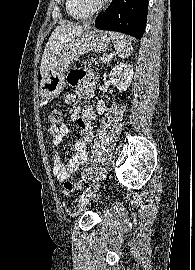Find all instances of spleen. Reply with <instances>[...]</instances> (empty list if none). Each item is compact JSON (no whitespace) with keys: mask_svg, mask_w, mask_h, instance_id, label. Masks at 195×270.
<instances>
[{"mask_svg":"<svg viewBox=\"0 0 195 270\" xmlns=\"http://www.w3.org/2000/svg\"><path fill=\"white\" fill-rule=\"evenodd\" d=\"M113 45L117 51V54L121 58H126L131 54L132 45L124 35L120 33H110Z\"/></svg>","mask_w":195,"mask_h":270,"instance_id":"spleen-1","label":"spleen"}]
</instances>
